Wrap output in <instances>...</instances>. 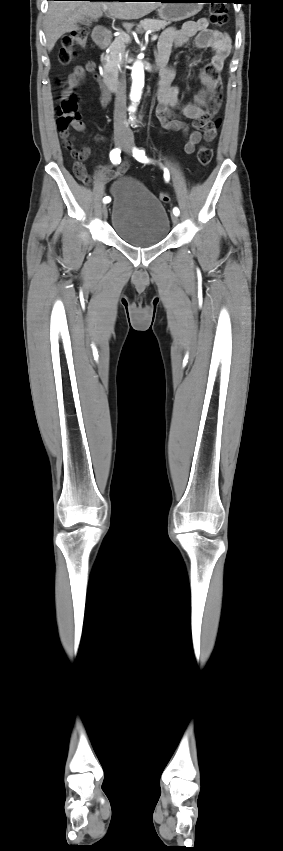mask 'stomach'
<instances>
[{
	"label": "stomach",
	"instance_id": "0dacf381",
	"mask_svg": "<svg viewBox=\"0 0 283 851\" xmlns=\"http://www.w3.org/2000/svg\"><path fill=\"white\" fill-rule=\"evenodd\" d=\"M202 0H169L158 9L163 21L176 22L196 15L203 7Z\"/></svg>",
	"mask_w": 283,
	"mask_h": 851
}]
</instances>
